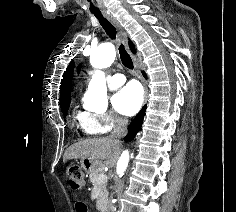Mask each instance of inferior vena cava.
I'll use <instances>...</instances> for the list:
<instances>
[{
    "instance_id": "inferior-vena-cava-1",
    "label": "inferior vena cava",
    "mask_w": 236,
    "mask_h": 212,
    "mask_svg": "<svg viewBox=\"0 0 236 212\" xmlns=\"http://www.w3.org/2000/svg\"><path fill=\"white\" fill-rule=\"evenodd\" d=\"M128 119L118 117L115 121L114 129L110 135L113 139H120L127 134Z\"/></svg>"
}]
</instances>
